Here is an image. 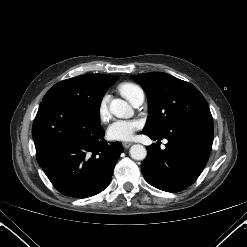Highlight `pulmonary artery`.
Listing matches in <instances>:
<instances>
[{
  "instance_id": "e3ab8cb5",
  "label": "pulmonary artery",
  "mask_w": 247,
  "mask_h": 247,
  "mask_svg": "<svg viewBox=\"0 0 247 247\" xmlns=\"http://www.w3.org/2000/svg\"><path fill=\"white\" fill-rule=\"evenodd\" d=\"M144 102V93L141 91L140 93H138L133 100L131 101V104L134 107H139L143 104Z\"/></svg>"
}]
</instances>
